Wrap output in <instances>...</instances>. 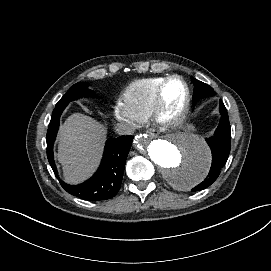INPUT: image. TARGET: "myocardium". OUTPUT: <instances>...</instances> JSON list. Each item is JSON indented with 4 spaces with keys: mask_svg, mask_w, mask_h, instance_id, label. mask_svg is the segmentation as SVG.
<instances>
[{
    "mask_svg": "<svg viewBox=\"0 0 271 271\" xmlns=\"http://www.w3.org/2000/svg\"><path fill=\"white\" fill-rule=\"evenodd\" d=\"M173 80L181 81L185 88L186 94L184 99L177 105H171L166 99V90ZM192 101L191 87L187 80L180 75H170L160 85L155 100L154 116L161 123L169 126L180 124L186 117Z\"/></svg>",
    "mask_w": 271,
    "mask_h": 271,
    "instance_id": "myocardium-1",
    "label": "myocardium"
}]
</instances>
